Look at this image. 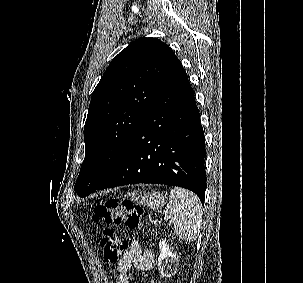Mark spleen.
<instances>
[{
  "label": "spleen",
  "instance_id": "3e777b00",
  "mask_svg": "<svg viewBox=\"0 0 303 283\" xmlns=\"http://www.w3.org/2000/svg\"><path fill=\"white\" fill-rule=\"evenodd\" d=\"M166 212L173 216L175 233L179 238L189 242L196 240L200 233L203 212L195 194L174 187L170 191Z\"/></svg>",
  "mask_w": 303,
  "mask_h": 283
}]
</instances>
